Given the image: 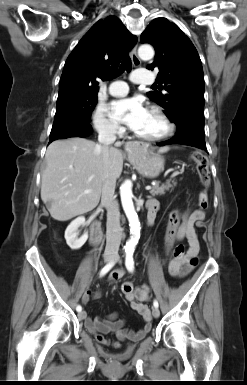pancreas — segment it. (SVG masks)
<instances>
[{
	"mask_svg": "<svg viewBox=\"0 0 247 385\" xmlns=\"http://www.w3.org/2000/svg\"><path fill=\"white\" fill-rule=\"evenodd\" d=\"M174 186H176L175 182H172V184H171V182L168 181L162 185H159V182H156V184L151 188L150 194L152 196L164 195L165 191H168L169 189L173 188Z\"/></svg>",
	"mask_w": 247,
	"mask_h": 385,
	"instance_id": "1",
	"label": "pancreas"
}]
</instances>
